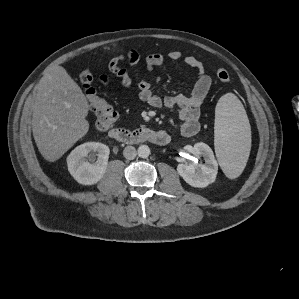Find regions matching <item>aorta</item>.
Instances as JSON below:
<instances>
[{
	"mask_svg": "<svg viewBox=\"0 0 299 299\" xmlns=\"http://www.w3.org/2000/svg\"><path fill=\"white\" fill-rule=\"evenodd\" d=\"M137 153L139 157L147 158L150 155V148L147 145H140Z\"/></svg>",
	"mask_w": 299,
	"mask_h": 299,
	"instance_id": "762f6f07",
	"label": "aorta"
}]
</instances>
